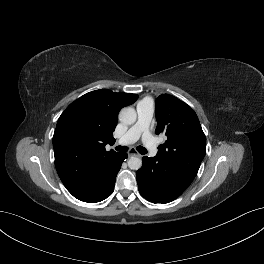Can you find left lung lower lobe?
<instances>
[{"instance_id": "obj_1", "label": "left lung lower lobe", "mask_w": 264, "mask_h": 264, "mask_svg": "<svg viewBox=\"0 0 264 264\" xmlns=\"http://www.w3.org/2000/svg\"><path fill=\"white\" fill-rule=\"evenodd\" d=\"M136 177L140 194L152 203H168L181 195L191 184L198 169L185 168L177 159L156 155L143 157Z\"/></svg>"}]
</instances>
